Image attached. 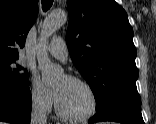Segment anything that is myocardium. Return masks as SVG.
I'll use <instances>...</instances> for the list:
<instances>
[{
	"label": "myocardium",
	"instance_id": "obj_1",
	"mask_svg": "<svg viewBox=\"0 0 156 124\" xmlns=\"http://www.w3.org/2000/svg\"><path fill=\"white\" fill-rule=\"evenodd\" d=\"M66 78L69 79L70 81H73L75 83H78V84L84 86L88 90V92L91 96V99H92V106H91L90 110L83 115H78V116L70 115L61 109V107L58 104L56 95H55L54 103H55V110H56L57 115L61 119L70 121V122H83V121H87V120L91 119L99 111L100 101H99V97H98L96 90L88 81H86L80 77L68 75V76H66Z\"/></svg>",
	"mask_w": 156,
	"mask_h": 124
}]
</instances>
